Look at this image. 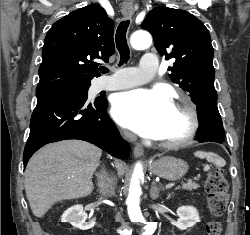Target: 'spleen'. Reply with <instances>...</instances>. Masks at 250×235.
Here are the masks:
<instances>
[{
    "instance_id": "3e777b00",
    "label": "spleen",
    "mask_w": 250,
    "mask_h": 235,
    "mask_svg": "<svg viewBox=\"0 0 250 235\" xmlns=\"http://www.w3.org/2000/svg\"><path fill=\"white\" fill-rule=\"evenodd\" d=\"M195 156L201 159L206 158L209 162H213L218 167H223L226 164L225 160H223L220 156L213 154V153L197 151L195 152Z\"/></svg>"
}]
</instances>
